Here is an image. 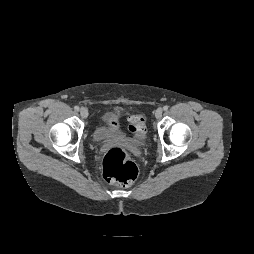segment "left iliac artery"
Segmentation results:
<instances>
[{
    "mask_svg": "<svg viewBox=\"0 0 254 254\" xmlns=\"http://www.w3.org/2000/svg\"><path fill=\"white\" fill-rule=\"evenodd\" d=\"M168 108H169V107L166 105V106L163 107V110H164V111H167Z\"/></svg>",
    "mask_w": 254,
    "mask_h": 254,
    "instance_id": "obj_1",
    "label": "left iliac artery"
}]
</instances>
